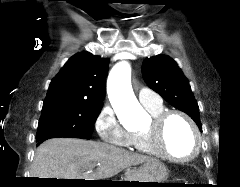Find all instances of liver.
<instances>
[{
  "label": "liver",
  "instance_id": "6515ba94",
  "mask_svg": "<svg viewBox=\"0 0 240 187\" xmlns=\"http://www.w3.org/2000/svg\"><path fill=\"white\" fill-rule=\"evenodd\" d=\"M152 160L102 142L52 138L37 148L30 175L31 178L104 180Z\"/></svg>",
  "mask_w": 240,
  "mask_h": 187
}]
</instances>
